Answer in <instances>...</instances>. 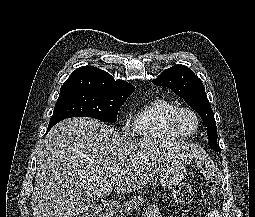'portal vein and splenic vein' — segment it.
Instances as JSON below:
<instances>
[{
  "label": "portal vein and splenic vein",
  "mask_w": 255,
  "mask_h": 217,
  "mask_svg": "<svg viewBox=\"0 0 255 217\" xmlns=\"http://www.w3.org/2000/svg\"><path fill=\"white\" fill-rule=\"evenodd\" d=\"M112 173L116 174V173H118V170H113Z\"/></svg>",
  "instance_id": "1"
}]
</instances>
